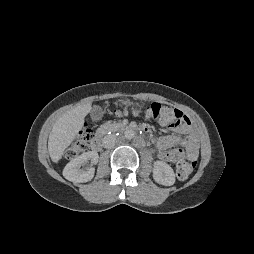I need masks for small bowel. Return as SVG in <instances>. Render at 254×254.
Listing matches in <instances>:
<instances>
[{"instance_id":"obj_1","label":"small bowel","mask_w":254,"mask_h":254,"mask_svg":"<svg viewBox=\"0 0 254 254\" xmlns=\"http://www.w3.org/2000/svg\"><path fill=\"white\" fill-rule=\"evenodd\" d=\"M172 130L188 135L184 138L173 135L161 137L157 142L159 158L166 162H177L184 156L191 160L196 159L198 146L197 140L192 134L191 124L182 127H172ZM174 146H180L183 149H171Z\"/></svg>"}]
</instances>
